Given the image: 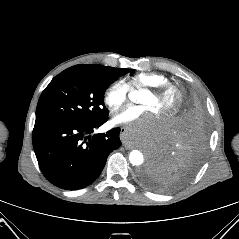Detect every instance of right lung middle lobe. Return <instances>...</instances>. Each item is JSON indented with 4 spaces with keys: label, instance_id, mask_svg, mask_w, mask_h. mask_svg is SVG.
Returning a JSON list of instances; mask_svg holds the SVG:
<instances>
[{
    "label": "right lung middle lobe",
    "instance_id": "1",
    "mask_svg": "<svg viewBox=\"0 0 239 239\" xmlns=\"http://www.w3.org/2000/svg\"><path fill=\"white\" fill-rule=\"evenodd\" d=\"M132 69L85 72L66 69L54 77L42 92L36 109V121L60 120L96 122L108 116L104 93L110 84Z\"/></svg>",
    "mask_w": 239,
    "mask_h": 239
}]
</instances>
